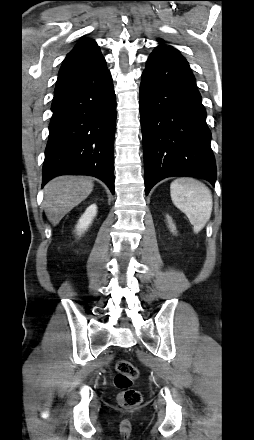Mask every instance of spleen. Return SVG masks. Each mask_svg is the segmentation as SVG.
I'll return each mask as SVG.
<instances>
[{
    "label": "spleen",
    "instance_id": "spleen-1",
    "mask_svg": "<svg viewBox=\"0 0 254 440\" xmlns=\"http://www.w3.org/2000/svg\"><path fill=\"white\" fill-rule=\"evenodd\" d=\"M174 205L188 217L196 233L210 219L213 201L209 188L193 178H179L170 185Z\"/></svg>",
    "mask_w": 254,
    "mask_h": 440
}]
</instances>
